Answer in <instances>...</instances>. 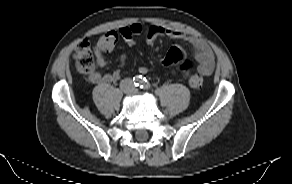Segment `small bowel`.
<instances>
[{
  "mask_svg": "<svg viewBox=\"0 0 292 184\" xmlns=\"http://www.w3.org/2000/svg\"><path fill=\"white\" fill-rule=\"evenodd\" d=\"M161 28V27H160ZM161 35H166L170 38L180 39L185 41L191 48L195 60L198 62V71L204 76H209L214 70V55L210 47L199 37L192 34L174 30L161 28ZM120 35L123 40L132 46L135 44L136 37L143 32V27L140 23H133L128 26L122 27L120 30ZM127 56L122 54L119 58V64L121 67L125 66ZM106 65V59L103 54H98L96 56V66L97 68H104ZM139 72L145 74L149 71L146 66H140ZM121 71L116 69L109 73H100L99 71H92L89 73V81L93 84L97 83H113L120 79Z\"/></svg>",
  "mask_w": 292,
  "mask_h": 184,
  "instance_id": "c3829d8e",
  "label": "small bowel"
}]
</instances>
